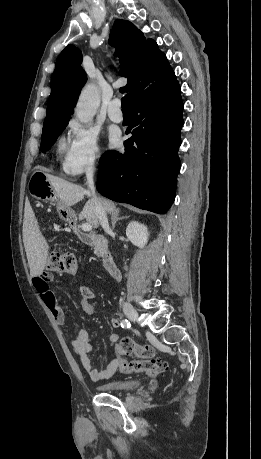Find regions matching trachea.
<instances>
[{"mask_svg": "<svg viewBox=\"0 0 261 459\" xmlns=\"http://www.w3.org/2000/svg\"><path fill=\"white\" fill-rule=\"evenodd\" d=\"M121 106L122 110L124 111H130V105H129V95H125L122 100H121Z\"/></svg>", "mask_w": 261, "mask_h": 459, "instance_id": "3493384b", "label": "trachea"}]
</instances>
